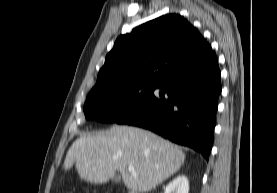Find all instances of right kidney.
Masks as SVG:
<instances>
[{"mask_svg":"<svg viewBox=\"0 0 277 193\" xmlns=\"http://www.w3.org/2000/svg\"><path fill=\"white\" fill-rule=\"evenodd\" d=\"M164 193H189V182L186 176L181 175L170 182Z\"/></svg>","mask_w":277,"mask_h":193,"instance_id":"obj_1","label":"right kidney"}]
</instances>
